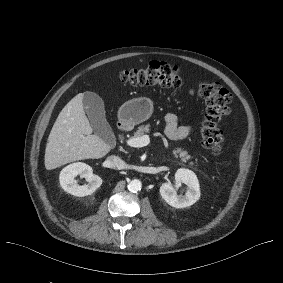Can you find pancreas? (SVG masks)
Wrapping results in <instances>:
<instances>
[{"label": "pancreas", "mask_w": 283, "mask_h": 283, "mask_svg": "<svg viewBox=\"0 0 283 283\" xmlns=\"http://www.w3.org/2000/svg\"><path fill=\"white\" fill-rule=\"evenodd\" d=\"M150 130H151L150 124H146V125L140 126L138 128V130L136 131L135 137L144 136L145 134L149 133ZM173 156L175 158H179L181 162H185L187 159L190 158L189 154L185 150H182L179 147H177L173 151ZM190 164L192 165L193 163L191 162Z\"/></svg>", "instance_id": "cf45deb5"}]
</instances>
